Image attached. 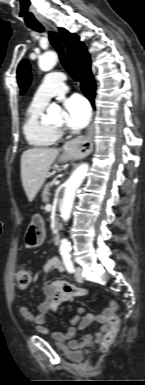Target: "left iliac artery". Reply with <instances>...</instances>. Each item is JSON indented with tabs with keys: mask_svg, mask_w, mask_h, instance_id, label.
Segmentation results:
<instances>
[{
	"mask_svg": "<svg viewBox=\"0 0 145 385\" xmlns=\"http://www.w3.org/2000/svg\"><path fill=\"white\" fill-rule=\"evenodd\" d=\"M61 255H62L63 263H64L67 271L69 273H73L74 272V265H73V262L71 260L70 252L69 251H62Z\"/></svg>",
	"mask_w": 145,
	"mask_h": 385,
	"instance_id": "obj_1",
	"label": "left iliac artery"
}]
</instances>
